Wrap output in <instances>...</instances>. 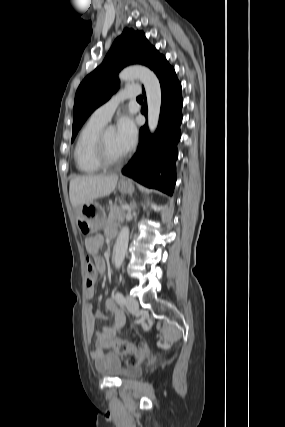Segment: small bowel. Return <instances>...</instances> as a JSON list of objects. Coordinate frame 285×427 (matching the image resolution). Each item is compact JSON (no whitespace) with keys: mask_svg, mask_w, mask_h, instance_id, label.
Listing matches in <instances>:
<instances>
[{"mask_svg":"<svg viewBox=\"0 0 285 427\" xmlns=\"http://www.w3.org/2000/svg\"><path fill=\"white\" fill-rule=\"evenodd\" d=\"M86 249L90 255L95 258L97 271L99 274H103L105 265L103 260L99 257V251L103 245V237L97 234L90 237L85 242ZM96 295V289L94 286L87 287L86 298L93 299ZM106 309L113 316V323L110 326L104 327L102 330L95 333L94 331V320L104 317V314L96 311L92 306L87 307L88 321L87 329L91 336H95L96 349L90 352V356L95 363L98 370H106L113 364L119 362L116 355L112 353H104L105 350L110 348L111 341L119 336L125 327V315L124 312L119 308L114 298H108L105 301Z\"/></svg>","mask_w":285,"mask_h":427,"instance_id":"1","label":"small bowel"}]
</instances>
